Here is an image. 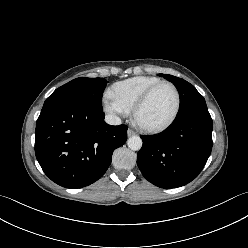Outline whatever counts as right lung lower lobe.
<instances>
[{"mask_svg": "<svg viewBox=\"0 0 248 248\" xmlns=\"http://www.w3.org/2000/svg\"><path fill=\"white\" fill-rule=\"evenodd\" d=\"M125 125L104 121L103 110L77 101L43 105L35 131L36 158L48 178L66 188L88 186L106 172L127 140Z\"/></svg>", "mask_w": 248, "mask_h": 248, "instance_id": "1", "label": "right lung lower lobe"}]
</instances>
